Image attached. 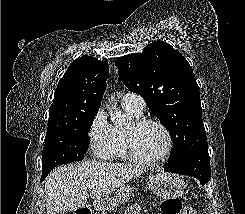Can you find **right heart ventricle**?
Listing matches in <instances>:
<instances>
[{
	"label": "right heart ventricle",
	"instance_id": "e07e8e85",
	"mask_svg": "<svg viewBox=\"0 0 245 214\" xmlns=\"http://www.w3.org/2000/svg\"><path fill=\"white\" fill-rule=\"evenodd\" d=\"M124 110L128 114V116L134 120H137L141 117L142 112H138L134 108L130 106L123 105ZM114 135H115V145L113 150L112 157L120 158L122 160H130L131 157L127 151L126 143H125V130L120 127H114Z\"/></svg>",
	"mask_w": 245,
	"mask_h": 214
}]
</instances>
